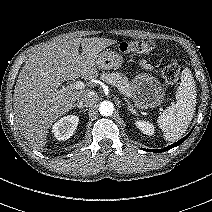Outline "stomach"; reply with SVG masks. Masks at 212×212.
<instances>
[{
  "label": "stomach",
  "mask_w": 212,
  "mask_h": 212,
  "mask_svg": "<svg viewBox=\"0 0 212 212\" xmlns=\"http://www.w3.org/2000/svg\"><path fill=\"white\" fill-rule=\"evenodd\" d=\"M123 63V57L117 52L106 49L97 58V67L102 70L117 69ZM129 97L134 102V107L143 110L161 105L166 94L162 84L154 76L138 74L130 84Z\"/></svg>",
  "instance_id": "1"
}]
</instances>
